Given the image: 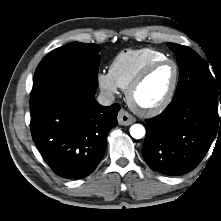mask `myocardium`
Wrapping results in <instances>:
<instances>
[{
  "mask_svg": "<svg viewBox=\"0 0 221 221\" xmlns=\"http://www.w3.org/2000/svg\"><path fill=\"white\" fill-rule=\"evenodd\" d=\"M164 64H171L174 68V78L172 84L164 96V98L154 106L151 107H142L135 101V92L140 87V85L145 81L148 75L153 69ZM179 67L175 61L169 58L156 60L148 63L142 68V70L136 75V77L131 81L129 86L126 89V97L129 105L139 114L144 116H154L163 112L172 102L175 92L177 90L179 82Z\"/></svg>",
  "mask_w": 221,
  "mask_h": 221,
  "instance_id": "f54148a6",
  "label": "myocardium"
}]
</instances>
